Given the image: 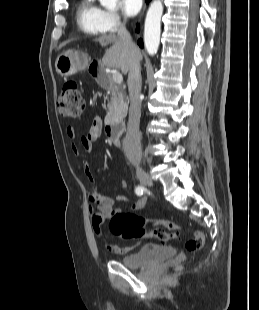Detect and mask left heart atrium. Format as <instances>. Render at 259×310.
Returning a JSON list of instances; mask_svg holds the SVG:
<instances>
[{"instance_id":"1","label":"left heart atrium","mask_w":259,"mask_h":310,"mask_svg":"<svg viewBox=\"0 0 259 310\" xmlns=\"http://www.w3.org/2000/svg\"><path fill=\"white\" fill-rule=\"evenodd\" d=\"M143 0H121V7L123 13L132 17L137 15L142 8Z\"/></svg>"}]
</instances>
